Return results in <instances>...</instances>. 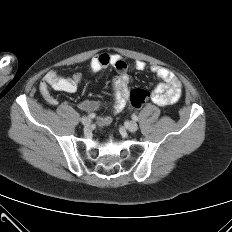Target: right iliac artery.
I'll list each match as a JSON object with an SVG mask.
<instances>
[{"instance_id":"obj_1","label":"right iliac artery","mask_w":232,"mask_h":232,"mask_svg":"<svg viewBox=\"0 0 232 232\" xmlns=\"http://www.w3.org/2000/svg\"><path fill=\"white\" fill-rule=\"evenodd\" d=\"M88 117H89V118H94V117H95V114H94V113H90V114L88 115Z\"/></svg>"}]
</instances>
